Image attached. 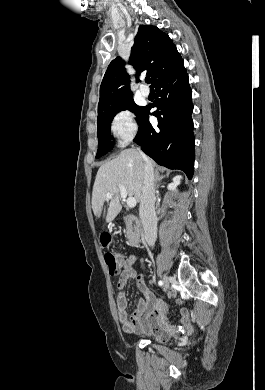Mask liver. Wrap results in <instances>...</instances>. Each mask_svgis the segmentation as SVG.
Listing matches in <instances>:
<instances>
[{
  "label": "liver",
  "mask_w": 265,
  "mask_h": 390,
  "mask_svg": "<svg viewBox=\"0 0 265 390\" xmlns=\"http://www.w3.org/2000/svg\"><path fill=\"white\" fill-rule=\"evenodd\" d=\"M150 162L153 166V161ZM143 181L144 161L141 153L134 148L121 151L115 159L101 165L97 172L92 192L94 214L99 216L104 202H109L106 222L113 221L122 209L119 185H123L127 195L134 196L139 202ZM108 192L112 194L111 198L106 197Z\"/></svg>",
  "instance_id": "1"
}]
</instances>
